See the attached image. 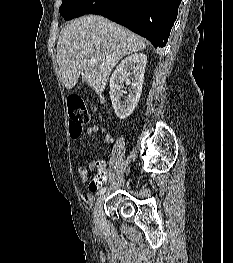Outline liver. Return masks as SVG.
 Listing matches in <instances>:
<instances>
[{"label":"liver","mask_w":233,"mask_h":263,"mask_svg":"<svg viewBox=\"0 0 233 263\" xmlns=\"http://www.w3.org/2000/svg\"><path fill=\"white\" fill-rule=\"evenodd\" d=\"M146 48L145 40L104 17L86 15L70 21L57 42V64L62 82L72 89L80 75L101 94L117 63L126 55ZM97 60L91 66L89 59Z\"/></svg>","instance_id":"liver-1"}]
</instances>
